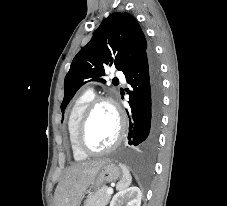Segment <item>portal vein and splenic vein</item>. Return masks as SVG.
Instances as JSON below:
<instances>
[{
    "mask_svg": "<svg viewBox=\"0 0 227 206\" xmlns=\"http://www.w3.org/2000/svg\"><path fill=\"white\" fill-rule=\"evenodd\" d=\"M107 193L108 194H112L113 193V189L112 188H108Z\"/></svg>",
    "mask_w": 227,
    "mask_h": 206,
    "instance_id": "portal-vein-and-splenic-vein-1",
    "label": "portal vein and splenic vein"
}]
</instances>
